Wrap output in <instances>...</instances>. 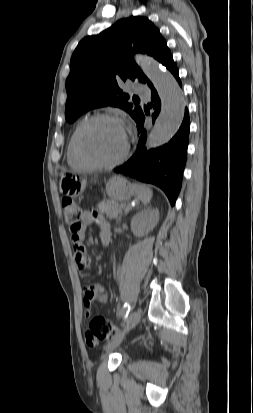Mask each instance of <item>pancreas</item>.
Returning <instances> with one entry per match:
<instances>
[{
  "label": "pancreas",
  "mask_w": 253,
  "mask_h": 413,
  "mask_svg": "<svg viewBox=\"0 0 253 413\" xmlns=\"http://www.w3.org/2000/svg\"><path fill=\"white\" fill-rule=\"evenodd\" d=\"M98 208L109 219H117L126 206L124 204H112L109 200H103L99 203Z\"/></svg>",
  "instance_id": "1"
}]
</instances>
